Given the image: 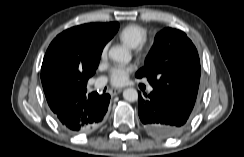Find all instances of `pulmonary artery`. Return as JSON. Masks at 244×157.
<instances>
[{"label": "pulmonary artery", "instance_id": "pulmonary-artery-1", "mask_svg": "<svg viewBox=\"0 0 244 157\" xmlns=\"http://www.w3.org/2000/svg\"><path fill=\"white\" fill-rule=\"evenodd\" d=\"M104 84H105V79L104 78H101V79H99V80L96 81L95 88L96 89H99V88L103 87ZM149 90L151 91L152 90V87H149Z\"/></svg>", "mask_w": 244, "mask_h": 157}]
</instances>
